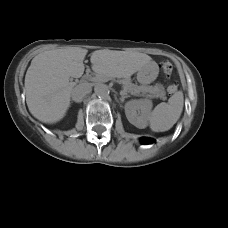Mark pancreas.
Wrapping results in <instances>:
<instances>
[{
    "mask_svg": "<svg viewBox=\"0 0 228 228\" xmlns=\"http://www.w3.org/2000/svg\"><path fill=\"white\" fill-rule=\"evenodd\" d=\"M112 78H108L102 75H96L92 78L94 82H106ZM120 82L123 84V88L126 92L131 94H147L151 98H165L166 92L160 85L147 86L133 84L129 79H122Z\"/></svg>",
    "mask_w": 228,
    "mask_h": 228,
    "instance_id": "pancreas-1",
    "label": "pancreas"
}]
</instances>
